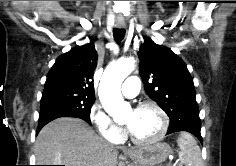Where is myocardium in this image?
<instances>
[{"label":"myocardium","instance_id":"1","mask_svg":"<svg viewBox=\"0 0 236 166\" xmlns=\"http://www.w3.org/2000/svg\"><path fill=\"white\" fill-rule=\"evenodd\" d=\"M146 108H152L159 114L161 118V128L158 134L150 139H139L129 131L128 136L131 139V141L137 145H142V146L153 145L161 141L166 135L168 126H169V120H168V116L166 112L159 104H157L154 101H144V102L139 103L136 106L135 111H140Z\"/></svg>","mask_w":236,"mask_h":166}]
</instances>
